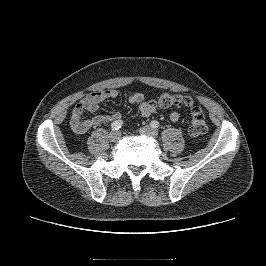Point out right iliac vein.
I'll use <instances>...</instances> for the list:
<instances>
[{"instance_id": "63e3f726", "label": "right iliac vein", "mask_w": 266, "mask_h": 266, "mask_svg": "<svg viewBox=\"0 0 266 266\" xmlns=\"http://www.w3.org/2000/svg\"><path fill=\"white\" fill-rule=\"evenodd\" d=\"M120 137H121V132L120 131H113L111 132L110 134V140L112 142H117L120 140Z\"/></svg>"}]
</instances>
